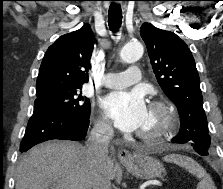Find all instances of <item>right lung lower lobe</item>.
<instances>
[{"label": "right lung lower lobe", "mask_w": 223, "mask_h": 189, "mask_svg": "<svg viewBox=\"0 0 223 189\" xmlns=\"http://www.w3.org/2000/svg\"><path fill=\"white\" fill-rule=\"evenodd\" d=\"M89 115L80 118L65 110L35 106L20 151L25 152L36 144L52 139L83 140L89 125Z\"/></svg>", "instance_id": "obj_1"}]
</instances>
